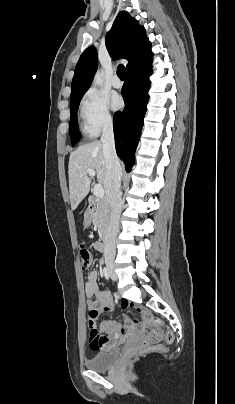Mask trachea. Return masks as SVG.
<instances>
[{
    "label": "trachea",
    "instance_id": "obj_1",
    "mask_svg": "<svg viewBox=\"0 0 235 404\" xmlns=\"http://www.w3.org/2000/svg\"><path fill=\"white\" fill-rule=\"evenodd\" d=\"M117 75L121 80L125 79V67L123 65L118 66Z\"/></svg>",
    "mask_w": 235,
    "mask_h": 404
}]
</instances>
